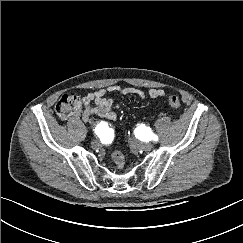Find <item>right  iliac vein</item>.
<instances>
[{
  "label": "right iliac vein",
  "mask_w": 243,
  "mask_h": 243,
  "mask_svg": "<svg viewBox=\"0 0 243 243\" xmlns=\"http://www.w3.org/2000/svg\"><path fill=\"white\" fill-rule=\"evenodd\" d=\"M91 146H92L93 148H98V147H100V142L97 141V140H95V141H93V142L91 143Z\"/></svg>",
  "instance_id": "right-iliac-vein-1"
}]
</instances>
